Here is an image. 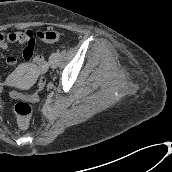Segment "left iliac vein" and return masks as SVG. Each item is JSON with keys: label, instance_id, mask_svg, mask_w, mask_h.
<instances>
[{"label": "left iliac vein", "instance_id": "obj_1", "mask_svg": "<svg viewBox=\"0 0 172 172\" xmlns=\"http://www.w3.org/2000/svg\"><path fill=\"white\" fill-rule=\"evenodd\" d=\"M57 60L58 56L56 55V53L51 54V56L49 57V65L51 68H56Z\"/></svg>", "mask_w": 172, "mask_h": 172}]
</instances>
